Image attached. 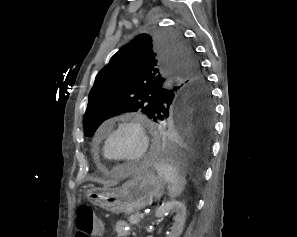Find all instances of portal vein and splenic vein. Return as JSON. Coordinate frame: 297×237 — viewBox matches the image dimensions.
Segmentation results:
<instances>
[{
	"label": "portal vein and splenic vein",
	"instance_id": "obj_1",
	"mask_svg": "<svg viewBox=\"0 0 297 237\" xmlns=\"http://www.w3.org/2000/svg\"><path fill=\"white\" fill-rule=\"evenodd\" d=\"M144 215H145L144 213H141V215H140V216H141V217H144Z\"/></svg>",
	"mask_w": 297,
	"mask_h": 237
}]
</instances>
